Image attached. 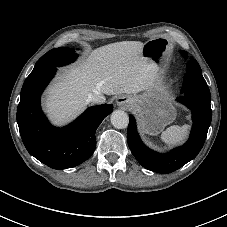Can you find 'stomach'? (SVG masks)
<instances>
[{
  "label": "stomach",
  "mask_w": 227,
  "mask_h": 227,
  "mask_svg": "<svg viewBox=\"0 0 227 227\" xmlns=\"http://www.w3.org/2000/svg\"><path fill=\"white\" fill-rule=\"evenodd\" d=\"M168 51V44L161 39L150 40L144 44L142 55L158 66L165 62ZM130 100L145 133L156 134L175 119L176 111L166 94L148 90L142 95L131 97Z\"/></svg>",
  "instance_id": "0dacf381"
}]
</instances>
